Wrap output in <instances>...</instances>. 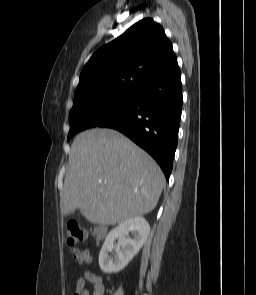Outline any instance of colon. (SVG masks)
Here are the masks:
<instances>
[{
	"label": "colon",
	"mask_w": 256,
	"mask_h": 295,
	"mask_svg": "<svg viewBox=\"0 0 256 295\" xmlns=\"http://www.w3.org/2000/svg\"><path fill=\"white\" fill-rule=\"evenodd\" d=\"M66 245L73 252L74 257L79 262H88V254L80 248L81 243L86 240V231L76 222H68L65 227ZM84 289L76 291L74 295H84Z\"/></svg>",
	"instance_id": "colon-1"
}]
</instances>
